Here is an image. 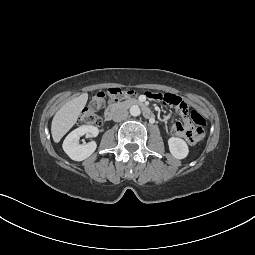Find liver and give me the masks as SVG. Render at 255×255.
<instances>
[{"label": "liver", "mask_w": 255, "mask_h": 255, "mask_svg": "<svg viewBox=\"0 0 255 255\" xmlns=\"http://www.w3.org/2000/svg\"><path fill=\"white\" fill-rule=\"evenodd\" d=\"M88 100L87 94H82L65 103L54 115L51 125L52 138L58 143L61 138L76 123L81 110L85 107Z\"/></svg>", "instance_id": "obj_1"}]
</instances>
